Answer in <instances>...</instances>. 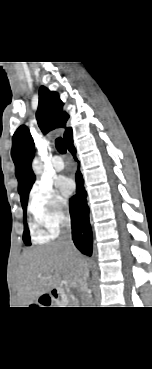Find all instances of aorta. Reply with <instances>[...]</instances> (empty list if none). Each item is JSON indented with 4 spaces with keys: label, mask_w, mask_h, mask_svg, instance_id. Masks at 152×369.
<instances>
[{
    "label": "aorta",
    "mask_w": 152,
    "mask_h": 369,
    "mask_svg": "<svg viewBox=\"0 0 152 369\" xmlns=\"http://www.w3.org/2000/svg\"><path fill=\"white\" fill-rule=\"evenodd\" d=\"M32 168L35 174L39 175L42 172V165L39 161L34 160L32 163Z\"/></svg>",
    "instance_id": "aorta-1"
}]
</instances>
